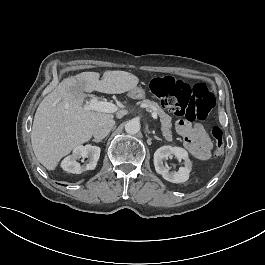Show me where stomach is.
<instances>
[{"label": "stomach", "mask_w": 265, "mask_h": 265, "mask_svg": "<svg viewBox=\"0 0 265 265\" xmlns=\"http://www.w3.org/2000/svg\"><path fill=\"white\" fill-rule=\"evenodd\" d=\"M128 96L132 99H143L145 97V92L143 89L135 87L129 91Z\"/></svg>", "instance_id": "1"}]
</instances>
